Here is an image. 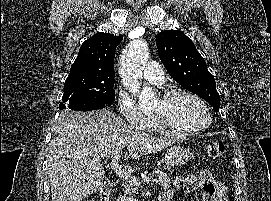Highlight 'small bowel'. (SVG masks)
<instances>
[{"instance_id": "1", "label": "small bowel", "mask_w": 271, "mask_h": 201, "mask_svg": "<svg viewBox=\"0 0 271 201\" xmlns=\"http://www.w3.org/2000/svg\"><path fill=\"white\" fill-rule=\"evenodd\" d=\"M179 188L186 193L201 190L203 201H227L224 184L216 180L207 170H202L197 174H190L186 177L174 178L172 187L166 189L163 194L167 193L172 197L175 189Z\"/></svg>"}]
</instances>
